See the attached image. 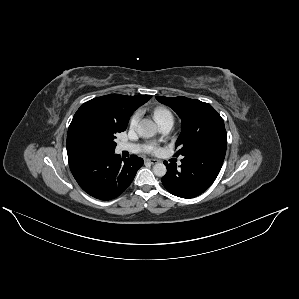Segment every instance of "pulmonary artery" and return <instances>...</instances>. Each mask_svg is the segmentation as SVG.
<instances>
[{
    "mask_svg": "<svg viewBox=\"0 0 299 299\" xmlns=\"http://www.w3.org/2000/svg\"><path fill=\"white\" fill-rule=\"evenodd\" d=\"M159 125H160V131L163 134H168L173 129L174 122L173 120H164L160 122ZM117 149L119 152L129 151L133 153H138V152L147 151L148 147L144 145L120 144Z\"/></svg>",
    "mask_w": 299,
    "mask_h": 299,
    "instance_id": "pulmonary-artery-1",
    "label": "pulmonary artery"
}]
</instances>
